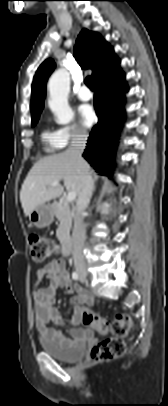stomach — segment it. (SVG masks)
<instances>
[{"instance_id":"obj_1","label":"stomach","mask_w":168,"mask_h":406,"mask_svg":"<svg viewBox=\"0 0 168 406\" xmlns=\"http://www.w3.org/2000/svg\"><path fill=\"white\" fill-rule=\"evenodd\" d=\"M54 219V208L50 204L37 206L29 215L30 222L38 227L49 226Z\"/></svg>"}]
</instances>
